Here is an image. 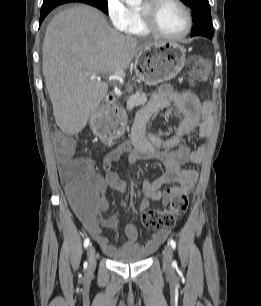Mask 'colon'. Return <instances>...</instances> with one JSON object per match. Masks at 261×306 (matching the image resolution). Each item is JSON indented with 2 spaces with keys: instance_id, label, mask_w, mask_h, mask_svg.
Listing matches in <instances>:
<instances>
[{
  "instance_id": "5ec220e1",
  "label": "colon",
  "mask_w": 261,
  "mask_h": 306,
  "mask_svg": "<svg viewBox=\"0 0 261 306\" xmlns=\"http://www.w3.org/2000/svg\"><path fill=\"white\" fill-rule=\"evenodd\" d=\"M186 71L190 84L195 86L206 80L210 65L206 59L194 56L187 60ZM96 121L102 125L100 132L105 138H117L122 131L123 121L119 110L97 117ZM71 144L70 140L60 143L62 157L67 160L61 168V175L67 184L73 205L79 207L88 202L94 196V192L88 182L90 167L86 161L74 159L70 155ZM187 208V196L178 194L172 199L168 210H144L141 221L143 226L150 230L169 228L186 213Z\"/></svg>"
}]
</instances>
